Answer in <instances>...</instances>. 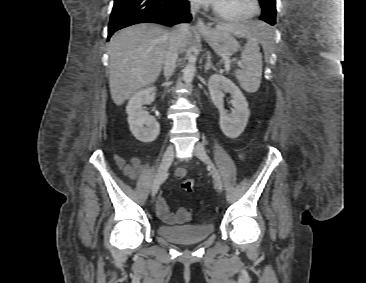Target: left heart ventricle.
I'll list each match as a JSON object with an SVG mask.
<instances>
[{
    "label": "left heart ventricle",
    "instance_id": "obj_1",
    "mask_svg": "<svg viewBox=\"0 0 366 283\" xmlns=\"http://www.w3.org/2000/svg\"><path fill=\"white\" fill-rule=\"evenodd\" d=\"M215 6L229 14H244L251 10V0H218Z\"/></svg>",
    "mask_w": 366,
    "mask_h": 283
}]
</instances>
